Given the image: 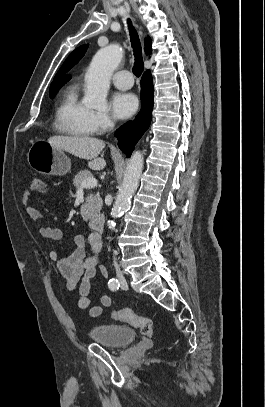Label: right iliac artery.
<instances>
[{
    "mask_svg": "<svg viewBox=\"0 0 265 407\" xmlns=\"http://www.w3.org/2000/svg\"><path fill=\"white\" fill-rule=\"evenodd\" d=\"M108 286H109V289H110L111 291H116V290L119 289L120 283L118 282L117 279H111V280H109V282H108Z\"/></svg>",
    "mask_w": 265,
    "mask_h": 407,
    "instance_id": "right-iliac-artery-1",
    "label": "right iliac artery"
}]
</instances>
